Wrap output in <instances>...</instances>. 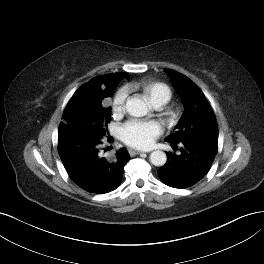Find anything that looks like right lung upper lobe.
Here are the masks:
<instances>
[{
  "mask_svg": "<svg viewBox=\"0 0 264 264\" xmlns=\"http://www.w3.org/2000/svg\"><path fill=\"white\" fill-rule=\"evenodd\" d=\"M127 76L126 73H113L104 76H98L82 85L70 99L63 114V120L74 108L92 104L98 97H101L106 91L115 88L116 84Z\"/></svg>",
  "mask_w": 264,
  "mask_h": 264,
  "instance_id": "obj_1",
  "label": "right lung upper lobe"
}]
</instances>
